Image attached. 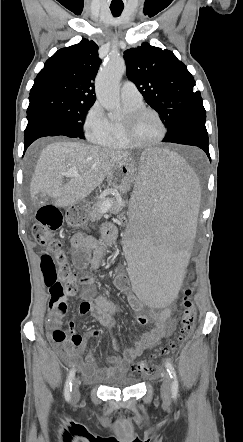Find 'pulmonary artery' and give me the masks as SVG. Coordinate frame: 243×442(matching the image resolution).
I'll list each match as a JSON object with an SVG mask.
<instances>
[{
	"mask_svg": "<svg viewBox=\"0 0 243 442\" xmlns=\"http://www.w3.org/2000/svg\"><path fill=\"white\" fill-rule=\"evenodd\" d=\"M121 99L124 102L139 104L142 103V95L136 85L130 81H125L121 87Z\"/></svg>",
	"mask_w": 243,
	"mask_h": 442,
	"instance_id": "pulmonary-artery-1",
	"label": "pulmonary artery"
}]
</instances>
